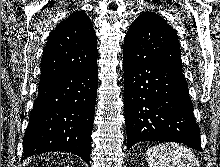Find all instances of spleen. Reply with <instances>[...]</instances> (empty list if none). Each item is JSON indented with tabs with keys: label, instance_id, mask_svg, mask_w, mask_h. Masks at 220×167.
<instances>
[{
	"label": "spleen",
	"instance_id": "1",
	"mask_svg": "<svg viewBox=\"0 0 220 167\" xmlns=\"http://www.w3.org/2000/svg\"><path fill=\"white\" fill-rule=\"evenodd\" d=\"M145 157L149 167H200L192 150L178 143L153 146Z\"/></svg>",
	"mask_w": 220,
	"mask_h": 167
}]
</instances>
